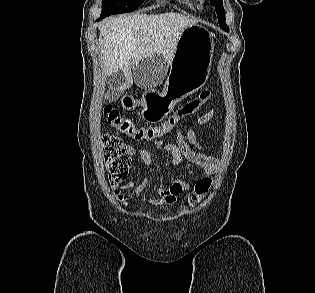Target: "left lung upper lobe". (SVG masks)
I'll return each mask as SVG.
<instances>
[{
	"instance_id": "1",
	"label": "left lung upper lobe",
	"mask_w": 315,
	"mask_h": 293,
	"mask_svg": "<svg viewBox=\"0 0 315 293\" xmlns=\"http://www.w3.org/2000/svg\"><path fill=\"white\" fill-rule=\"evenodd\" d=\"M210 2L215 5V11L217 13V16L219 18L218 22L220 27L225 30L226 32L229 31V28L227 27L225 23V11L223 7V2L222 0H210Z\"/></svg>"
}]
</instances>
